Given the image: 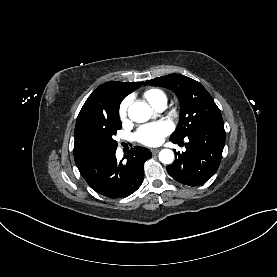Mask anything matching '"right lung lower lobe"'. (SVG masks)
Instances as JSON below:
<instances>
[{
  "mask_svg": "<svg viewBox=\"0 0 277 277\" xmlns=\"http://www.w3.org/2000/svg\"><path fill=\"white\" fill-rule=\"evenodd\" d=\"M115 152L94 156L77 166L80 174L96 192L109 198H122L135 192L144 178V163L151 158L149 149L136 146L126 164L117 161Z\"/></svg>",
  "mask_w": 277,
  "mask_h": 277,
  "instance_id": "98d812e1",
  "label": "right lung lower lobe"
}]
</instances>
